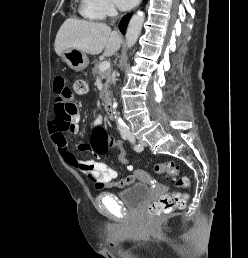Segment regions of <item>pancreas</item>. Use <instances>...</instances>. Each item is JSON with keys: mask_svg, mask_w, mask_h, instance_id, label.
<instances>
[{"mask_svg": "<svg viewBox=\"0 0 248 258\" xmlns=\"http://www.w3.org/2000/svg\"><path fill=\"white\" fill-rule=\"evenodd\" d=\"M93 63H94V67L92 68L93 75L95 77L100 76V78L102 80H105V83L103 84V88L100 92V98L104 99V96H106L108 94V89H109L110 83L112 81L111 71L106 70L104 72H101L99 69L101 62L96 60Z\"/></svg>", "mask_w": 248, "mask_h": 258, "instance_id": "1", "label": "pancreas"}]
</instances>
